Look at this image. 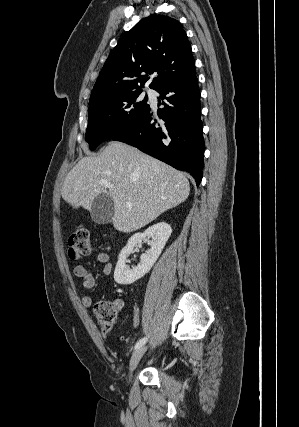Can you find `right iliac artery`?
<instances>
[{
    "label": "right iliac artery",
    "mask_w": 299,
    "mask_h": 427,
    "mask_svg": "<svg viewBox=\"0 0 299 427\" xmlns=\"http://www.w3.org/2000/svg\"><path fill=\"white\" fill-rule=\"evenodd\" d=\"M146 341H147V337L140 339L135 345V350L143 346L146 343Z\"/></svg>",
    "instance_id": "82829eb1"
}]
</instances>
